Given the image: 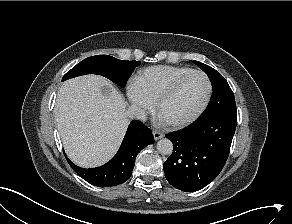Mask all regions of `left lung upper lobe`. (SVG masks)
Masks as SVG:
<instances>
[{
    "label": "left lung upper lobe",
    "mask_w": 292,
    "mask_h": 224,
    "mask_svg": "<svg viewBox=\"0 0 292 224\" xmlns=\"http://www.w3.org/2000/svg\"><path fill=\"white\" fill-rule=\"evenodd\" d=\"M194 62L208 75L213 88L211 100L200 118L226 108L236 107L234 94L223 76L208 65L198 61Z\"/></svg>",
    "instance_id": "1"
}]
</instances>
